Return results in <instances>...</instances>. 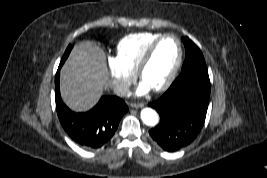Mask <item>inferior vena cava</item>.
I'll use <instances>...</instances> for the list:
<instances>
[{"label": "inferior vena cava", "instance_id": "602c4592", "mask_svg": "<svg viewBox=\"0 0 267 178\" xmlns=\"http://www.w3.org/2000/svg\"><path fill=\"white\" fill-rule=\"evenodd\" d=\"M113 92L118 96H126L130 93V86L123 82H114L111 84Z\"/></svg>", "mask_w": 267, "mask_h": 178}]
</instances>
